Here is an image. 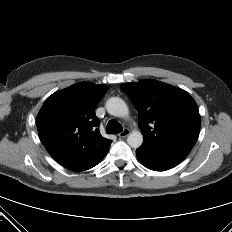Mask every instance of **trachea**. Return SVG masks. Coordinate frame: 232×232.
I'll return each instance as SVG.
<instances>
[{"instance_id": "obj_1", "label": "trachea", "mask_w": 232, "mask_h": 232, "mask_svg": "<svg viewBox=\"0 0 232 232\" xmlns=\"http://www.w3.org/2000/svg\"><path fill=\"white\" fill-rule=\"evenodd\" d=\"M123 131L122 125L115 119H112L107 124L106 132L108 134H117Z\"/></svg>"}]
</instances>
